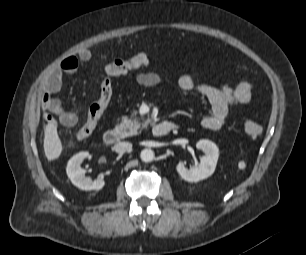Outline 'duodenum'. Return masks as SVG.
<instances>
[{"label": "duodenum", "instance_id": "1", "mask_svg": "<svg viewBox=\"0 0 306 255\" xmlns=\"http://www.w3.org/2000/svg\"><path fill=\"white\" fill-rule=\"evenodd\" d=\"M176 125L170 121H164L156 124L152 128V134L156 137H162L175 129ZM119 140V132L115 129L107 130L103 135V141L106 145H113Z\"/></svg>", "mask_w": 306, "mask_h": 255}]
</instances>
